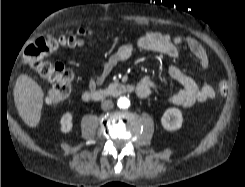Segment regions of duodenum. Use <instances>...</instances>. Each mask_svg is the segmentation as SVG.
<instances>
[{
	"mask_svg": "<svg viewBox=\"0 0 245 187\" xmlns=\"http://www.w3.org/2000/svg\"><path fill=\"white\" fill-rule=\"evenodd\" d=\"M137 90V86L133 84L114 82L104 88L95 89L92 91H86L83 93V97L86 100H102L106 97L121 96L126 93H132Z\"/></svg>",
	"mask_w": 245,
	"mask_h": 187,
	"instance_id": "obj_1",
	"label": "duodenum"
}]
</instances>
